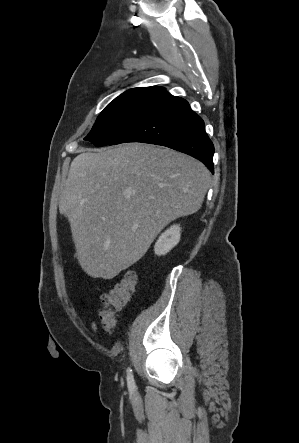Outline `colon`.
<instances>
[{
    "label": "colon",
    "instance_id": "obj_1",
    "mask_svg": "<svg viewBox=\"0 0 299 443\" xmlns=\"http://www.w3.org/2000/svg\"><path fill=\"white\" fill-rule=\"evenodd\" d=\"M136 285L137 275L129 270L102 295L99 317L104 329L114 330L117 324L116 313L127 304Z\"/></svg>",
    "mask_w": 299,
    "mask_h": 443
}]
</instances>
